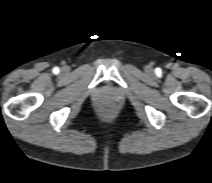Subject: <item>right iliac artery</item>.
<instances>
[{"label":"right iliac artery","mask_w":212,"mask_h":183,"mask_svg":"<svg viewBox=\"0 0 212 183\" xmlns=\"http://www.w3.org/2000/svg\"><path fill=\"white\" fill-rule=\"evenodd\" d=\"M53 73H54V74H58V73H59V68H58V67H55V68L53 69Z\"/></svg>","instance_id":"1"}]
</instances>
